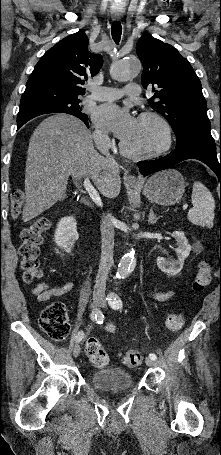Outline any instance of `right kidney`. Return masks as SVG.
I'll list each match as a JSON object with an SVG mask.
<instances>
[{
  "instance_id": "1",
  "label": "right kidney",
  "mask_w": 221,
  "mask_h": 455,
  "mask_svg": "<svg viewBox=\"0 0 221 455\" xmlns=\"http://www.w3.org/2000/svg\"><path fill=\"white\" fill-rule=\"evenodd\" d=\"M76 220L73 217L62 218L54 234L56 245L66 252H70L74 243L78 240ZM58 253V250H56Z\"/></svg>"
}]
</instances>
